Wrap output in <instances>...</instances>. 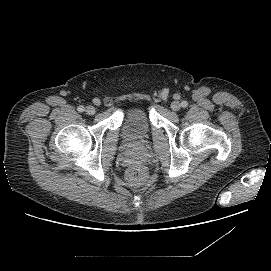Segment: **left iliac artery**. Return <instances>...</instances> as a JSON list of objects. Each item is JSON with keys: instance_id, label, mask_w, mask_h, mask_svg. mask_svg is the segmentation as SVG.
<instances>
[{"instance_id": "44dca946", "label": "left iliac artery", "mask_w": 271, "mask_h": 271, "mask_svg": "<svg viewBox=\"0 0 271 271\" xmlns=\"http://www.w3.org/2000/svg\"><path fill=\"white\" fill-rule=\"evenodd\" d=\"M187 105H188V103H187L186 101H182V102H181V106H182V107L185 108V107H187Z\"/></svg>"}]
</instances>
